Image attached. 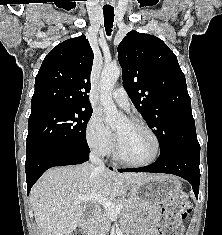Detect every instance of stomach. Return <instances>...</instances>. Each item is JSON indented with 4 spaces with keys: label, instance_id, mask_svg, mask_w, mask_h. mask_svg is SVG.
<instances>
[{
    "label": "stomach",
    "instance_id": "0dacf381",
    "mask_svg": "<svg viewBox=\"0 0 222 235\" xmlns=\"http://www.w3.org/2000/svg\"><path fill=\"white\" fill-rule=\"evenodd\" d=\"M181 188L179 180L174 176H155L142 184L134 185L129 190L128 199L140 211L144 207L158 205L175 196Z\"/></svg>",
    "mask_w": 222,
    "mask_h": 235
}]
</instances>
